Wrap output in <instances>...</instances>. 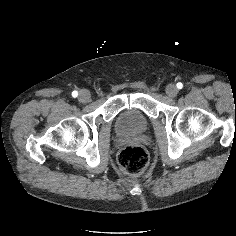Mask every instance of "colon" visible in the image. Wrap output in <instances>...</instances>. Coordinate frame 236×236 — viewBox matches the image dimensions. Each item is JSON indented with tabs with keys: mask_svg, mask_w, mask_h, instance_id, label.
Wrapping results in <instances>:
<instances>
[{
	"mask_svg": "<svg viewBox=\"0 0 236 236\" xmlns=\"http://www.w3.org/2000/svg\"><path fill=\"white\" fill-rule=\"evenodd\" d=\"M147 165L148 156L139 146H126L118 155V167L127 175H139L145 171Z\"/></svg>",
	"mask_w": 236,
	"mask_h": 236,
	"instance_id": "colon-1",
	"label": "colon"
}]
</instances>
